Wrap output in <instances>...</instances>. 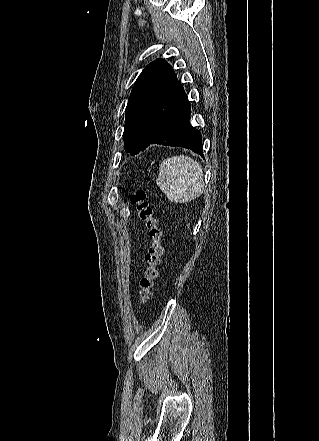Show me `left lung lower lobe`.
Here are the masks:
<instances>
[{
	"mask_svg": "<svg viewBox=\"0 0 319 441\" xmlns=\"http://www.w3.org/2000/svg\"><path fill=\"white\" fill-rule=\"evenodd\" d=\"M190 112L186 96L179 108L154 133L150 144L184 147L203 157L201 133L190 125Z\"/></svg>",
	"mask_w": 319,
	"mask_h": 441,
	"instance_id": "1",
	"label": "left lung lower lobe"
}]
</instances>
